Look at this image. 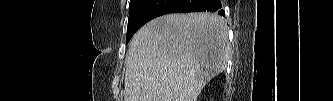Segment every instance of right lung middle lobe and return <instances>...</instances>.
I'll list each match as a JSON object with an SVG mask.
<instances>
[{
  "mask_svg": "<svg viewBox=\"0 0 333 101\" xmlns=\"http://www.w3.org/2000/svg\"><path fill=\"white\" fill-rule=\"evenodd\" d=\"M143 0H130V5H129V19H128V27H127V43L133 36V27H132V22L133 18L135 16V13L137 12L140 4L142 3Z\"/></svg>",
  "mask_w": 333,
  "mask_h": 101,
  "instance_id": "1",
  "label": "right lung middle lobe"
}]
</instances>
